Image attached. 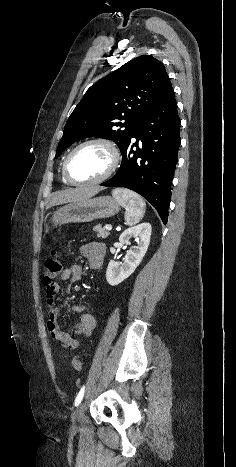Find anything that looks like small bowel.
I'll use <instances>...</instances> for the list:
<instances>
[{
  "label": "small bowel",
  "instance_id": "c3829d8e",
  "mask_svg": "<svg viewBox=\"0 0 236 467\" xmlns=\"http://www.w3.org/2000/svg\"><path fill=\"white\" fill-rule=\"evenodd\" d=\"M81 253L87 258L89 268L91 270H99L104 262L106 248L103 243L92 242L81 247ZM83 269L79 264L65 268L61 275L60 281H69L75 283L81 280ZM61 289L60 282H55L47 287L46 298L48 308L47 330L51 338L59 342L64 348L69 350L77 349L81 345V336L89 337L96 327V319L93 314L88 311L87 306L69 305V309L79 314V322L75 326V336H71L61 330L58 317L59 306L55 303V298ZM69 292V288L65 291L64 296Z\"/></svg>",
  "mask_w": 236,
  "mask_h": 467
}]
</instances>
